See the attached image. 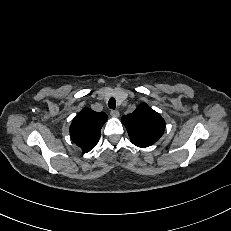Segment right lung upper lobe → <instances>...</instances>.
<instances>
[{"mask_svg": "<svg viewBox=\"0 0 231 231\" xmlns=\"http://www.w3.org/2000/svg\"><path fill=\"white\" fill-rule=\"evenodd\" d=\"M104 112L84 108L75 116L70 126V136L83 152H89L99 141L100 129L107 121Z\"/></svg>", "mask_w": 231, "mask_h": 231, "instance_id": "cb5924a9", "label": "right lung upper lobe"}]
</instances>
